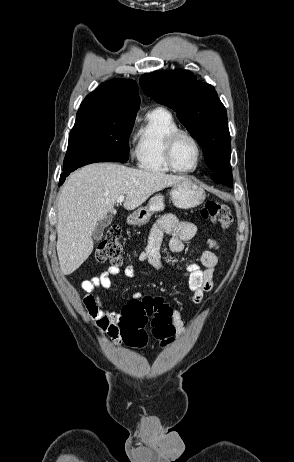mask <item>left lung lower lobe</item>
I'll use <instances>...</instances> for the list:
<instances>
[{
    "mask_svg": "<svg viewBox=\"0 0 294 462\" xmlns=\"http://www.w3.org/2000/svg\"><path fill=\"white\" fill-rule=\"evenodd\" d=\"M211 178L218 183L232 187V173H213Z\"/></svg>",
    "mask_w": 294,
    "mask_h": 462,
    "instance_id": "obj_1",
    "label": "left lung lower lobe"
}]
</instances>
